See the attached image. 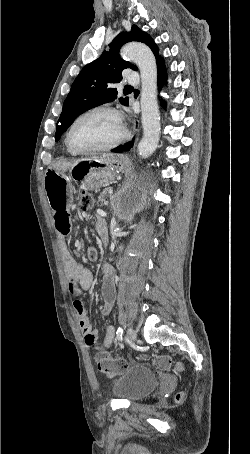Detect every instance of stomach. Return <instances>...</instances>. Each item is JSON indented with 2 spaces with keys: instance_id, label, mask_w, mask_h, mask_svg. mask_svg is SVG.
Masks as SVG:
<instances>
[{
  "instance_id": "obj_1",
  "label": "stomach",
  "mask_w": 250,
  "mask_h": 454,
  "mask_svg": "<svg viewBox=\"0 0 250 454\" xmlns=\"http://www.w3.org/2000/svg\"><path fill=\"white\" fill-rule=\"evenodd\" d=\"M126 167L127 161L124 158L104 155L92 160L80 161L71 166L56 164L46 171L45 176H76V180H80L86 189H95L108 185L115 175L124 171Z\"/></svg>"
}]
</instances>
